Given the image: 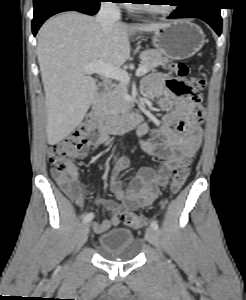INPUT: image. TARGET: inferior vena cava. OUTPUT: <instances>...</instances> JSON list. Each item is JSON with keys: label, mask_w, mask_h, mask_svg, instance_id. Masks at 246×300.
<instances>
[{"label": "inferior vena cava", "mask_w": 246, "mask_h": 300, "mask_svg": "<svg viewBox=\"0 0 246 300\" xmlns=\"http://www.w3.org/2000/svg\"><path fill=\"white\" fill-rule=\"evenodd\" d=\"M121 18L120 9L113 2H103L96 16V21L101 25L103 33L108 35L113 25Z\"/></svg>", "instance_id": "1"}]
</instances>
